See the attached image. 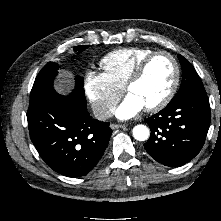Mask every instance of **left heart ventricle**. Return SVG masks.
<instances>
[{
  "label": "left heart ventricle",
  "instance_id": "obj_1",
  "mask_svg": "<svg viewBox=\"0 0 221 221\" xmlns=\"http://www.w3.org/2000/svg\"><path fill=\"white\" fill-rule=\"evenodd\" d=\"M174 76L172 61L165 55L155 57L147 66L143 77L129 89L144 107L160 101L169 90Z\"/></svg>",
  "mask_w": 221,
  "mask_h": 221
}]
</instances>
